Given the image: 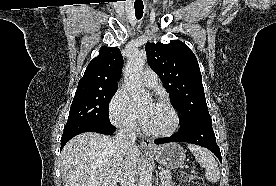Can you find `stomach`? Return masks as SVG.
<instances>
[{
	"instance_id": "stomach-1",
	"label": "stomach",
	"mask_w": 276,
	"mask_h": 186,
	"mask_svg": "<svg viewBox=\"0 0 276 186\" xmlns=\"http://www.w3.org/2000/svg\"><path fill=\"white\" fill-rule=\"evenodd\" d=\"M151 153L158 163L169 169L181 167L185 160V152L177 143H168L158 146L154 148Z\"/></svg>"
}]
</instances>
